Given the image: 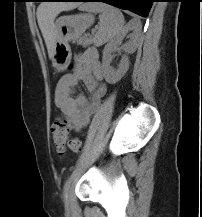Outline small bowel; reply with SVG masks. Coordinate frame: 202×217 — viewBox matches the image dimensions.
Instances as JSON below:
<instances>
[{"instance_id": "obj_1", "label": "small bowel", "mask_w": 202, "mask_h": 217, "mask_svg": "<svg viewBox=\"0 0 202 217\" xmlns=\"http://www.w3.org/2000/svg\"><path fill=\"white\" fill-rule=\"evenodd\" d=\"M102 80L103 70L98 53L89 50L76 57L74 72L64 75L58 81L54 95L55 103L75 130L85 128L101 104L106 93ZM79 82H83L90 91V99L76 94Z\"/></svg>"}]
</instances>
